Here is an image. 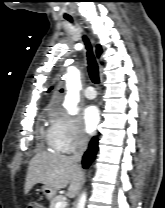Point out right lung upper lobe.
<instances>
[{"instance_id": "cb5924a9", "label": "right lung upper lobe", "mask_w": 165, "mask_h": 208, "mask_svg": "<svg viewBox=\"0 0 165 208\" xmlns=\"http://www.w3.org/2000/svg\"><path fill=\"white\" fill-rule=\"evenodd\" d=\"M101 52H102L101 46L98 45V46H97V49H96L97 56H100ZM50 89H51V88H50ZM50 89H49V90H50Z\"/></svg>"}]
</instances>
